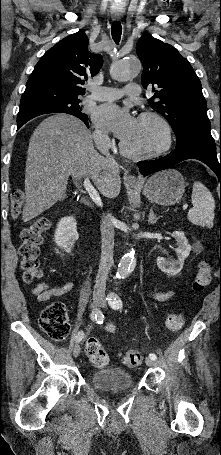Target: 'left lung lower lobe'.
Listing matches in <instances>:
<instances>
[{
	"instance_id": "0a47b994",
	"label": "left lung lower lobe",
	"mask_w": 221,
	"mask_h": 455,
	"mask_svg": "<svg viewBox=\"0 0 221 455\" xmlns=\"http://www.w3.org/2000/svg\"><path fill=\"white\" fill-rule=\"evenodd\" d=\"M186 159H197L208 165L218 176L221 182V161L219 163L216 154L215 141L212 136L189 135L180 143L176 149L165 157L138 162V167L143 175L170 168Z\"/></svg>"
}]
</instances>
